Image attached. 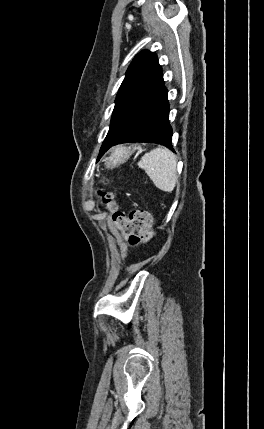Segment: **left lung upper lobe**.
<instances>
[{"label": "left lung upper lobe", "mask_w": 264, "mask_h": 429, "mask_svg": "<svg viewBox=\"0 0 264 429\" xmlns=\"http://www.w3.org/2000/svg\"><path fill=\"white\" fill-rule=\"evenodd\" d=\"M162 80V70L155 53L142 51L133 59L118 91L110 129L101 150L120 136L139 103Z\"/></svg>", "instance_id": "1"}]
</instances>
